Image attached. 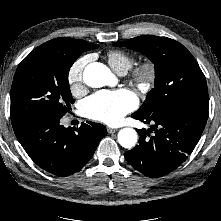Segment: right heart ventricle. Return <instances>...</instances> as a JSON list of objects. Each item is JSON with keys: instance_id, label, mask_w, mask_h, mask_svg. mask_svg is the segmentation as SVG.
Masks as SVG:
<instances>
[{"instance_id": "e07e8e85", "label": "right heart ventricle", "mask_w": 221, "mask_h": 221, "mask_svg": "<svg viewBox=\"0 0 221 221\" xmlns=\"http://www.w3.org/2000/svg\"><path fill=\"white\" fill-rule=\"evenodd\" d=\"M109 65L118 73L127 72L133 65L132 55L122 50H111L107 53Z\"/></svg>"}]
</instances>
